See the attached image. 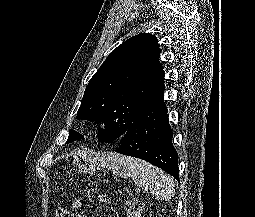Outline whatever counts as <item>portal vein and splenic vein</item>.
Instances as JSON below:
<instances>
[{"label":"portal vein and splenic vein","mask_w":255,"mask_h":217,"mask_svg":"<svg viewBox=\"0 0 255 217\" xmlns=\"http://www.w3.org/2000/svg\"><path fill=\"white\" fill-rule=\"evenodd\" d=\"M137 192H139V193H140V192H141V190H140V189H137Z\"/></svg>","instance_id":"18ae733b"}]
</instances>
